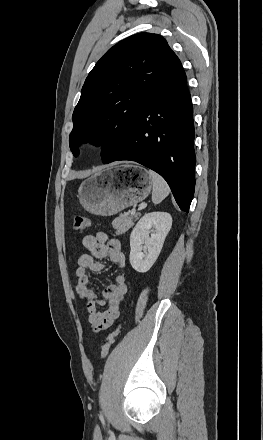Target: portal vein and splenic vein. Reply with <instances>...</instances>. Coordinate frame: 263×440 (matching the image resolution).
I'll return each mask as SVG.
<instances>
[{
  "mask_svg": "<svg viewBox=\"0 0 263 440\" xmlns=\"http://www.w3.org/2000/svg\"><path fill=\"white\" fill-rule=\"evenodd\" d=\"M131 214H132V215H135V214H136V209H135V207L132 208V210H131Z\"/></svg>",
  "mask_w": 263,
  "mask_h": 440,
  "instance_id": "portal-vein-and-splenic-vein-1",
  "label": "portal vein and splenic vein"
}]
</instances>
